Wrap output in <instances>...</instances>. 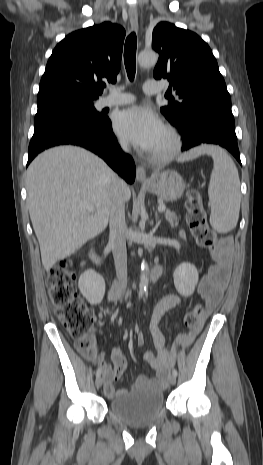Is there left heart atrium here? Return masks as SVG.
<instances>
[{
	"mask_svg": "<svg viewBox=\"0 0 263 465\" xmlns=\"http://www.w3.org/2000/svg\"><path fill=\"white\" fill-rule=\"evenodd\" d=\"M114 128L122 138L148 152L154 150L164 133L159 117L145 107H131L119 112Z\"/></svg>",
	"mask_w": 263,
	"mask_h": 465,
	"instance_id": "39dd6f15",
	"label": "left heart atrium"
}]
</instances>
